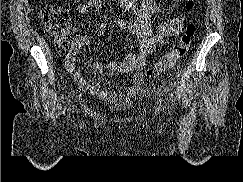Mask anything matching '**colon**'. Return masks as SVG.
I'll use <instances>...</instances> for the list:
<instances>
[{
	"mask_svg": "<svg viewBox=\"0 0 243 182\" xmlns=\"http://www.w3.org/2000/svg\"><path fill=\"white\" fill-rule=\"evenodd\" d=\"M195 5V0H187L186 9L193 10ZM39 17L53 37L58 54L64 59L74 57L76 53L75 31L70 26L69 11L62 6L46 7L40 11ZM195 32V25L188 23L179 41L169 53L147 70V76L155 77L172 68L179 59L183 58L189 50Z\"/></svg>",
	"mask_w": 243,
	"mask_h": 182,
	"instance_id": "5ec220e1",
	"label": "colon"
}]
</instances>
